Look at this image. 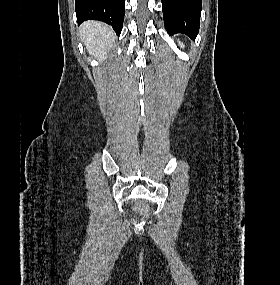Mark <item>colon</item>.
I'll list each match as a JSON object with an SVG mask.
<instances>
[{
	"mask_svg": "<svg viewBox=\"0 0 280 285\" xmlns=\"http://www.w3.org/2000/svg\"><path fill=\"white\" fill-rule=\"evenodd\" d=\"M142 206L146 207L147 206V202L143 201L142 202Z\"/></svg>",
	"mask_w": 280,
	"mask_h": 285,
	"instance_id": "5ec220e1",
	"label": "colon"
}]
</instances>
